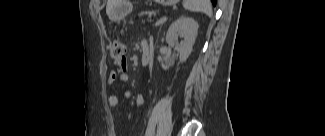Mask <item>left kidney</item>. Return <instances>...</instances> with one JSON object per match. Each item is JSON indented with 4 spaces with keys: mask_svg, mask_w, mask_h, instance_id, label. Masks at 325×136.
Masks as SVG:
<instances>
[{
    "mask_svg": "<svg viewBox=\"0 0 325 136\" xmlns=\"http://www.w3.org/2000/svg\"><path fill=\"white\" fill-rule=\"evenodd\" d=\"M198 28L199 25L194 19L184 16L179 17L170 25L166 35V42L179 52L180 63L185 62L191 54ZM178 37L183 38L180 43H178Z\"/></svg>",
    "mask_w": 325,
    "mask_h": 136,
    "instance_id": "obj_1",
    "label": "left kidney"
}]
</instances>
